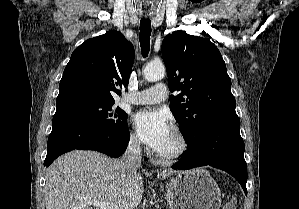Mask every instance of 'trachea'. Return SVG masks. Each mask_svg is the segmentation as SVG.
<instances>
[{
  "mask_svg": "<svg viewBox=\"0 0 299 209\" xmlns=\"http://www.w3.org/2000/svg\"><path fill=\"white\" fill-rule=\"evenodd\" d=\"M151 21L142 18L140 21V46L143 56L146 57L150 50Z\"/></svg>",
  "mask_w": 299,
  "mask_h": 209,
  "instance_id": "1",
  "label": "trachea"
}]
</instances>
